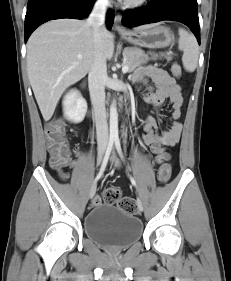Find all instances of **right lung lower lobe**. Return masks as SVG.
<instances>
[{
	"label": "right lung lower lobe",
	"mask_w": 231,
	"mask_h": 281,
	"mask_svg": "<svg viewBox=\"0 0 231 281\" xmlns=\"http://www.w3.org/2000/svg\"><path fill=\"white\" fill-rule=\"evenodd\" d=\"M95 0H28L25 16V42L41 24L61 18L83 19L92 9ZM113 11L107 13V28L111 29Z\"/></svg>",
	"instance_id": "right-lung-lower-lobe-1"
}]
</instances>
